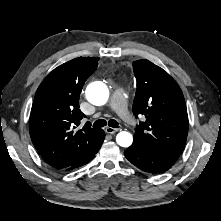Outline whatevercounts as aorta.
<instances>
[{
  "label": "aorta",
  "mask_w": 221,
  "mask_h": 221,
  "mask_svg": "<svg viewBox=\"0 0 221 221\" xmlns=\"http://www.w3.org/2000/svg\"><path fill=\"white\" fill-rule=\"evenodd\" d=\"M87 100L96 106L104 105L109 98V90L102 82H93L86 88ZM116 142L121 147H129L133 142L131 133L122 131L116 136Z\"/></svg>",
  "instance_id": "1"
}]
</instances>
